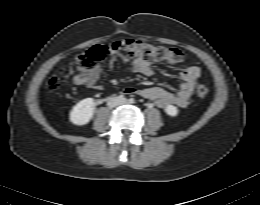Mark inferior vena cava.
<instances>
[{
  "mask_svg": "<svg viewBox=\"0 0 260 205\" xmlns=\"http://www.w3.org/2000/svg\"><path fill=\"white\" fill-rule=\"evenodd\" d=\"M119 104H121V103H120V102H112V101L108 102V105H109L110 107H115V106H117V105H119Z\"/></svg>",
  "mask_w": 260,
  "mask_h": 205,
  "instance_id": "1",
  "label": "inferior vena cava"
}]
</instances>
